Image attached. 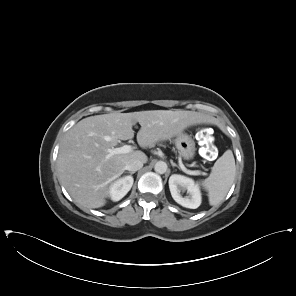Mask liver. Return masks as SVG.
<instances>
[{"label": "liver", "mask_w": 296, "mask_h": 296, "mask_svg": "<svg viewBox=\"0 0 296 296\" xmlns=\"http://www.w3.org/2000/svg\"><path fill=\"white\" fill-rule=\"evenodd\" d=\"M137 122L141 126L137 133L139 146L152 148L191 125L214 123V118L195 111L149 110L82 119L65 134L57 160L59 181L78 206H104L110 184L123 174L126 163L132 158L148 161L140 150L107 158L108 149L134 137L132 126Z\"/></svg>", "instance_id": "6515ba94"}]
</instances>
